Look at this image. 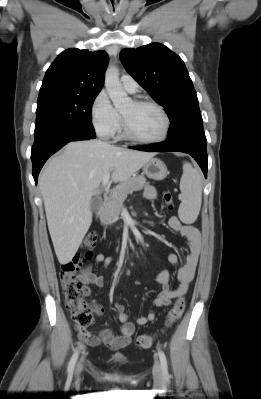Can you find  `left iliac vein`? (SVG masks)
Returning a JSON list of instances; mask_svg holds the SVG:
<instances>
[{"instance_id":"4c4485c4","label":"left iliac vein","mask_w":261,"mask_h":399,"mask_svg":"<svg viewBox=\"0 0 261 399\" xmlns=\"http://www.w3.org/2000/svg\"><path fill=\"white\" fill-rule=\"evenodd\" d=\"M152 373H153L154 379L157 382H160L162 380V367L158 360H155V362H154Z\"/></svg>"}]
</instances>
